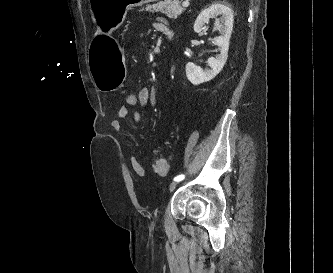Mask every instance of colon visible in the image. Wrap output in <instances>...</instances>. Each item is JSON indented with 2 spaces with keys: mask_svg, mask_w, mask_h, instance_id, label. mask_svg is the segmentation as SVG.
Listing matches in <instances>:
<instances>
[{
  "mask_svg": "<svg viewBox=\"0 0 333 273\" xmlns=\"http://www.w3.org/2000/svg\"><path fill=\"white\" fill-rule=\"evenodd\" d=\"M124 103L126 108L135 107L138 104V94L128 93L124 97ZM169 161L165 158L157 159L154 163L153 170L159 176H165L169 171Z\"/></svg>",
  "mask_w": 333,
  "mask_h": 273,
  "instance_id": "1",
  "label": "colon"
}]
</instances>
